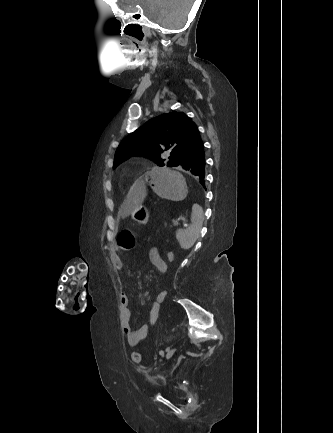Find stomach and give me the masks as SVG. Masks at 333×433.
Masks as SVG:
<instances>
[{
	"label": "stomach",
	"instance_id": "0dacf381",
	"mask_svg": "<svg viewBox=\"0 0 333 433\" xmlns=\"http://www.w3.org/2000/svg\"><path fill=\"white\" fill-rule=\"evenodd\" d=\"M141 183H152L155 193L164 199H185L187 186L183 176L176 169H151L150 174H141ZM133 219L140 224L148 222L149 213L145 206H139Z\"/></svg>",
	"mask_w": 333,
	"mask_h": 433
}]
</instances>
